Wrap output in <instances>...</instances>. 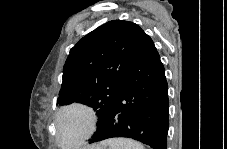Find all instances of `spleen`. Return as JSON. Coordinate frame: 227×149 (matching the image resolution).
Here are the masks:
<instances>
[{
	"label": "spleen",
	"mask_w": 227,
	"mask_h": 149,
	"mask_svg": "<svg viewBox=\"0 0 227 149\" xmlns=\"http://www.w3.org/2000/svg\"><path fill=\"white\" fill-rule=\"evenodd\" d=\"M103 145H108L109 149H144L141 143L127 138L109 139Z\"/></svg>",
	"instance_id": "spleen-1"
}]
</instances>
